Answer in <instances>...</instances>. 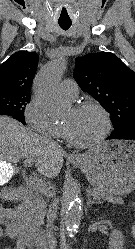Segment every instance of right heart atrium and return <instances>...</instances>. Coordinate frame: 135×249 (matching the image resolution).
Wrapping results in <instances>:
<instances>
[{
    "label": "right heart atrium",
    "instance_id": "right-heart-atrium-1",
    "mask_svg": "<svg viewBox=\"0 0 135 249\" xmlns=\"http://www.w3.org/2000/svg\"><path fill=\"white\" fill-rule=\"evenodd\" d=\"M25 121L36 133L58 138L62 135V128L55 123L47 114L44 106L37 97H32L24 111Z\"/></svg>",
    "mask_w": 135,
    "mask_h": 249
}]
</instances>
